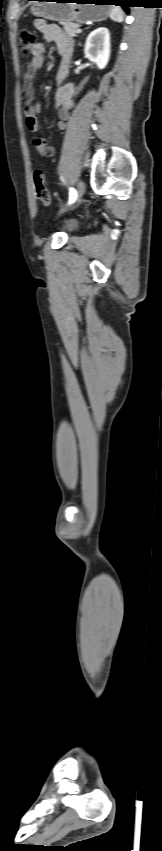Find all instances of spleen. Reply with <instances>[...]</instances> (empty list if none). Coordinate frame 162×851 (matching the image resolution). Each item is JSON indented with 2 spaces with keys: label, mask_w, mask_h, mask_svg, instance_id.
I'll return each mask as SVG.
<instances>
[{
  "label": "spleen",
  "mask_w": 162,
  "mask_h": 851,
  "mask_svg": "<svg viewBox=\"0 0 162 851\" xmlns=\"http://www.w3.org/2000/svg\"><path fill=\"white\" fill-rule=\"evenodd\" d=\"M110 7H111L110 15H109L110 19L115 21V22H122L123 21L122 9L120 7H117V6H110Z\"/></svg>",
  "instance_id": "obj_1"
}]
</instances>
